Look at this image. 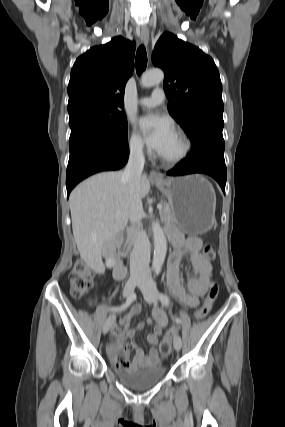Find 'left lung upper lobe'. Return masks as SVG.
I'll list each match as a JSON object with an SVG mask.
<instances>
[{
    "label": "left lung upper lobe",
    "mask_w": 285,
    "mask_h": 427,
    "mask_svg": "<svg viewBox=\"0 0 285 427\" xmlns=\"http://www.w3.org/2000/svg\"><path fill=\"white\" fill-rule=\"evenodd\" d=\"M153 64L165 72L168 110L192 143L222 136V84L213 59L199 48L164 33L157 41Z\"/></svg>",
    "instance_id": "left-lung-upper-lobe-1"
}]
</instances>
